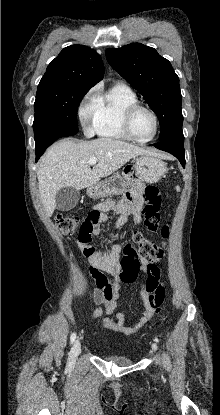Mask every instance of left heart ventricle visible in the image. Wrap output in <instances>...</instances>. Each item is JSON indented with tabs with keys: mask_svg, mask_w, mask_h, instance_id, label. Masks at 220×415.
I'll return each mask as SVG.
<instances>
[{
	"mask_svg": "<svg viewBox=\"0 0 220 415\" xmlns=\"http://www.w3.org/2000/svg\"><path fill=\"white\" fill-rule=\"evenodd\" d=\"M134 135L139 139L150 138L155 130L153 117L145 110H138L131 123Z\"/></svg>",
	"mask_w": 220,
	"mask_h": 415,
	"instance_id": "b2bd125f",
	"label": "left heart ventricle"
}]
</instances>
